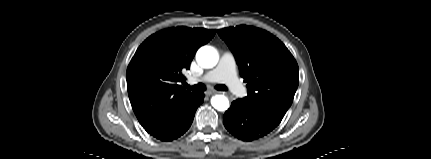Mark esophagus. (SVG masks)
I'll list each match as a JSON object with an SVG mask.
<instances>
[{"label": "esophagus", "mask_w": 431, "mask_h": 159, "mask_svg": "<svg viewBox=\"0 0 431 159\" xmlns=\"http://www.w3.org/2000/svg\"><path fill=\"white\" fill-rule=\"evenodd\" d=\"M216 93H217V91H216V90H208V91L206 92V95H207V96H211V95L216 94Z\"/></svg>", "instance_id": "34e87169"}]
</instances>
